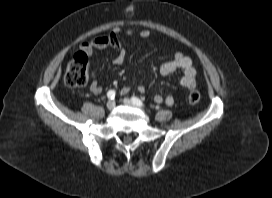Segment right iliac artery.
<instances>
[{
	"label": "right iliac artery",
	"instance_id": "right-iliac-artery-1",
	"mask_svg": "<svg viewBox=\"0 0 272 198\" xmlns=\"http://www.w3.org/2000/svg\"><path fill=\"white\" fill-rule=\"evenodd\" d=\"M115 95H116V93L114 90H109L107 93V97L111 100L115 98Z\"/></svg>",
	"mask_w": 272,
	"mask_h": 198
}]
</instances>
